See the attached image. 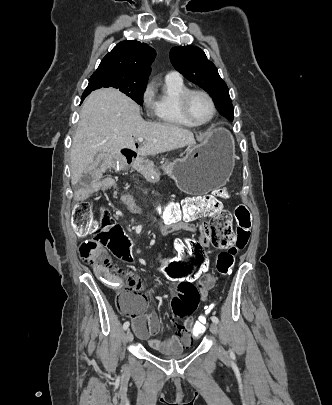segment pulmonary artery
I'll list each match as a JSON object with an SVG mask.
<instances>
[{"label":"pulmonary artery","instance_id":"1","mask_svg":"<svg viewBox=\"0 0 332 405\" xmlns=\"http://www.w3.org/2000/svg\"><path fill=\"white\" fill-rule=\"evenodd\" d=\"M166 78L169 79H181L180 74L176 71H171L169 73H167Z\"/></svg>","mask_w":332,"mask_h":405}]
</instances>
